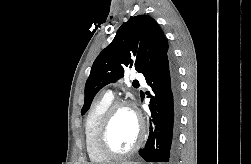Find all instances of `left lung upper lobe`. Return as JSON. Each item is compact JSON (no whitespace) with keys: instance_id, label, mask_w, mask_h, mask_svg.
I'll use <instances>...</instances> for the list:
<instances>
[{"instance_id":"5c2ea615","label":"left lung upper lobe","mask_w":251,"mask_h":164,"mask_svg":"<svg viewBox=\"0 0 251 164\" xmlns=\"http://www.w3.org/2000/svg\"><path fill=\"white\" fill-rule=\"evenodd\" d=\"M168 56V42L157 22L147 15L131 17L95 59L86 81L81 114L86 113L96 93L121 78L127 67H134L146 77Z\"/></svg>"}]
</instances>
